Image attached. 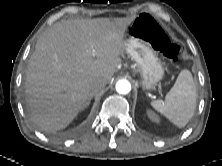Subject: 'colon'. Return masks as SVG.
<instances>
[{
  "mask_svg": "<svg viewBox=\"0 0 222 166\" xmlns=\"http://www.w3.org/2000/svg\"><path fill=\"white\" fill-rule=\"evenodd\" d=\"M129 32L134 38L149 43L171 61L179 60V46L172 42L163 26L152 15L141 14L131 25Z\"/></svg>",
  "mask_w": 222,
  "mask_h": 166,
  "instance_id": "5ec220e1",
  "label": "colon"
}]
</instances>
